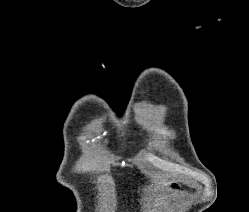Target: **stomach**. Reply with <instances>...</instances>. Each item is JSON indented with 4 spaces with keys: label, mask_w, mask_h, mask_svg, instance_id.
Returning a JSON list of instances; mask_svg holds the SVG:
<instances>
[{
    "label": "stomach",
    "mask_w": 249,
    "mask_h": 212,
    "mask_svg": "<svg viewBox=\"0 0 249 212\" xmlns=\"http://www.w3.org/2000/svg\"><path fill=\"white\" fill-rule=\"evenodd\" d=\"M165 190H168V192H178L180 186L176 182H168V184H165Z\"/></svg>",
    "instance_id": "0dacf381"
}]
</instances>
